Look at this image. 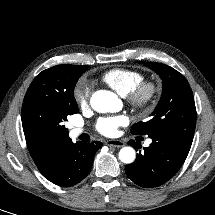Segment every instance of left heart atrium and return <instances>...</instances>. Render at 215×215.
Instances as JSON below:
<instances>
[{"label":"left heart atrium","mask_w":215,"mask_h":215,"mask_svg":"<svg viewBox=\"0 0 215 215\" xmlns=\"http://www.w3.org/2000/svg\"><path fill=\"white\" fill-rule=\"evenodd\" d=\"M127 124L124 115L102 117L96 123V129L102 135L111 137L117 134L118 128Z\"/></svg>","instance_id":"obj_1"}]
</instances>
